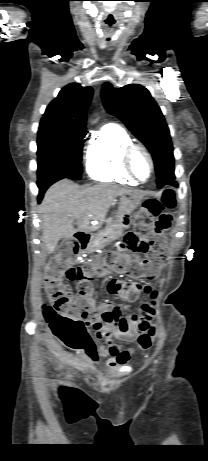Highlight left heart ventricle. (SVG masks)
Wrapping results in <instances>:
<instances>
[{
	"instance_id": "obj_1",
	"label": "left heart ventricle",
	"mask_w": 208,
	"mask_h": 461,
	"mask_svg": "<svg viewBox=\"0 0 208 461\" xmlns=\"http://www.w3.org/2000/svg\"><path fill=\"white\" fill-rule=\"evenodd\" d=\"M135 171L141 178H146L149 175L150 166L147 158L142 153H137L133 159Z\"/></svg>"
}]
</instances>
